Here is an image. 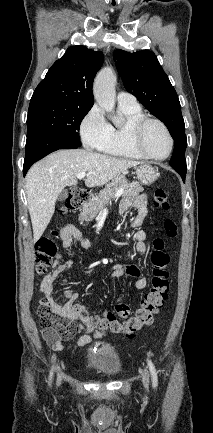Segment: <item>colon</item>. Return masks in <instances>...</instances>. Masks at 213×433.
<instances>
[{
  "mask_svg": "<svg viewBox=\"0 0 213 433\" xmlns=\"http://www.w3.org/2000/svg\"><path fill=\"white\" fill-rule=\"evenodd\" d=\"M90 194L87 190L75 188L69 191L65 200V208L68 210H78ZM153 206L162 211H168L170 204L167 193L163 189H157L153 196ZM164 231L169 238L178 235V226L172 219H165L163 223ZM56 231H52L49 236L41 238L36 244V264L39 273L51 264L57 254L55 238ZM153 250L150 260L153 266L151 287L140 301L139 307L134 315L129 317L130 307L127 304L119 303L115 307V312H108L105 315H97L88 312L83 306L73 305L76 318L86 328L109 332L114 335L133 338L146 326H151L156 314L163 308L169 292V273L168 264L169 254L165 251L164 241L156 236L153 240ZM40 323L44 329H53L61 338H69L74 333L75 325L63 320H59L50 315L46 305L42 302L39 307ZM125 320H120V319ZM55 341V337H52Z\"/></svg>",
  "mask_w": 213,
  "mask_h": 433,
  "instance_id": "1",
  "label": "colon"
}]
</instances>
